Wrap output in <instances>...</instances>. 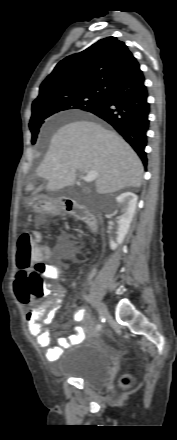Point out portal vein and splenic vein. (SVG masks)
Wrapping results in <instances>:
<instances>
[{
  "label": "portal vein and splenic vein",
  "mask_w": 177,
  "mask_h": 440,
  "mask_svg": "<svg viewBox=\"0 0 177 440\" xmlns=\"http://www.w3.org/2000/svg\"><path fill=\"white\" fill-rule=\"evenodd\" d=\"M97 172L96 171H89L85 176L81 175L80 178L83 179L85 182H92L96 179Z\"/></svg>",
  "instance_id": "18ae733b"
}]
</instances>
